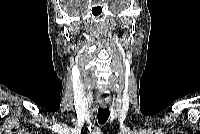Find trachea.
Returning a JSON list of instances; mask_svg holds the SVG:
<instances>
[{"label": "trachea", "instance_id": "obj_1", "mask_svg": "<svg viewBox=\"0 0 200 134\" xmlns=\"http://www.w3.org/2000/svg\"><path fill=\"white\" fill-rule=\"evenodd\" d=\"M97 118H98L99 124H101V125L105 124L106 121L109 118V109L108 108H101V107H99Z\"/></svg>", "mask_w": 200, "mask_h": 134}]
</instances>
